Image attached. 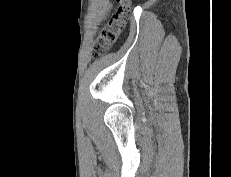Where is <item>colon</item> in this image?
Masks as SVG:
<instances>
[{
    "mask_svg": "<svg viewBox=\"0 0 231 177\" xmlns=\"http://www.w3.org/2000/svg\"><path fill=\"white\" fill-rule=\"evenodd\" d=\"M116 2L119 3V7L97 37L93 50L94 57H100L105 54L115 44L126 25L131 0H116Z\"/></svg>",
    "mask_w": 231,
    "mask_h": 177,
    "instance_id": "5ec220e1",
    "label": "colon"
}]
</instances>
